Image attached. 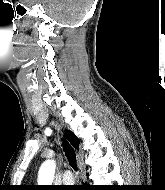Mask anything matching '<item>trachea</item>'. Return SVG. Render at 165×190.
Masks as SVG:
<instances>
[{
	"label": "trachea",
	"mask_w": 165,
	"mask_h": 190,
	"mask_svg": "<svg viewBox=\"0 0 165 190\" xmlns=\"http://www.w3.org/2000/svg\"><path fill=\"white\" fill-rule=\"evenodd\" d=\"M63 149L65 152V155L69 161L70 166L77 171V160H76V154L74 149L69 145L67 141H63Z\"/></svg>",
	"instance_id": "3493384b"
}]
</instances>
